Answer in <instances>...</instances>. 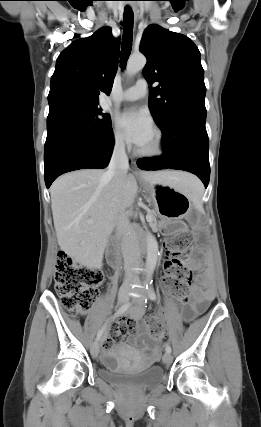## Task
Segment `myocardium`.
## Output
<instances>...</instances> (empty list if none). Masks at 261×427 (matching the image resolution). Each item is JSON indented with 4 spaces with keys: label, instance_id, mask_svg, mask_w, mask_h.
Here are the masks:
<instances>
[{
    "label": "myocardium",
    "instance_id": "f54148a6",
    "mask_svg": "<svg viewBox=\"0 0 261 427\" xmlns=\"http://www.w3.org/2000/svg\"><path fill=\"white\" fill-rule=\"evenodd\" d=\"M154 142L151 148L149 149H137L136 153L140 157L144 158H155L163 154L164 152V140L163 134L160 129H153Z\"/></svg>",
    "mask_w": 261,
    "mask_h": 427
}]
</instances>
